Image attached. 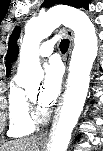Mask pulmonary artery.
Segmentation results:
<instances>
[{"instance_id":"1","label":"pulmonary artery","mask_w":103,"mask_h":151,"mask_svg":"<svg viewBox=\"0 0 103 151\" xmlns=\"http://www.w3.org/2000/svg\"><path fill=\"white\" fill-rule=\"evenodd\" d=\"M56 38H53L51 40H47L45 42H43L39 48V55L41 57H48L52 54L53 52V48H54V44L56 42Z\"/></svg>"}]
</instances>
